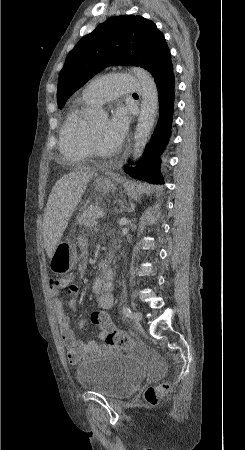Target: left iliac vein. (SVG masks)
<instances>
[{"instance_id": "4c4485c4", "label": "left iliac vein", "mask_w": 245, "mask_h": 450, "mask_svg": "<svg viewBox=\"0 0 245 450\" xmlns=\"http://www.w3.org/2000/svg\"><path fill=\"white\" fill-rule=\"evenodd\" d=\"M133 320L134 322L138 323L142 320V313L138 310L134 311L133 313Z\"/></svg>"}]
</instances>
